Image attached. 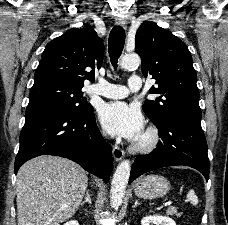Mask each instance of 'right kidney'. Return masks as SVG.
I'll return each instance as SVG.
<instances>
[{"instance_id":"ca27d5eb","label":"right kidney","mask_w":228,"mask_h":225,"mask_svg":"<svg viewBox=\"0 0 228 225\" xmlns=\"http://www.w3.org/2000/svg\"><path fill=\"white\" fill-rule=\"evenodd\" d=\"M65 225H79L78 221H68Z\"/></svg>"}]
</instances>
